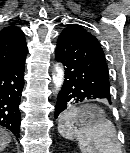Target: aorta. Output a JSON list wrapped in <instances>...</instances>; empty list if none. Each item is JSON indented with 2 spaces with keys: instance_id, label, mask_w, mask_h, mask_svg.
I'll return each mask as SVG.
<instances>
[{
  "instance_id": "aorta-1",
  "label": "aorta",
  "mask_w": 130,
  "mask_h": 153,
  "mask_svg": "<svg viewBox=\"0 0 130 153\" xmlns=\"http://www.w3.org/2000/svg\"><path fill=\"white\" fill-rule=\"evenodd\" d=\"M52 78H53L55 91L58 92L64 80V70L59 63L55 65V73L53 74Z\"/></svg>"
}]
</instances>
